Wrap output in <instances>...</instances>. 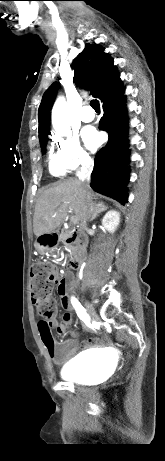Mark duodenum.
Listing matches in <instances>:
<instances>
[{"mask_svg": "<svg viewBox=\"0 0 165 461\" xmlns=\"http://www.w3.org/2000/svg\"><path fill=\"white\" fill-rule=\"evenodd\" d=\"M54 238L55 240H64L67 244L75 246V253L70 266L73 269H79L85 256V241L83 237L75 231L67 234L64 230L60 229L45 235V239L49 241H54ZM68 286L69 284H67V288Z\"/></svg>", "mask_w": 165, "mask_h": 461, "instance_id": "duodenum-1", "label": "duodenum"}]
</instances>
